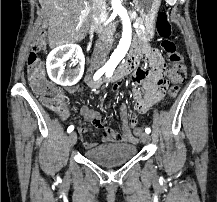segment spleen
<instances>
[{
    "instance_id": "obj_1",
    "label": "spleen",
    "mask_w": 217,
    "mask_h": 202,
    "mask_svg": "<svg viewBox=\"0 0 217 202\" xmlns=\"http://www.w3.org/2000/svg\"><path fill=\"white\" fill-rule=\"evenodd\" d=\"M166 5H177V0H166Z\"/></svg>"
}]
</instances>
